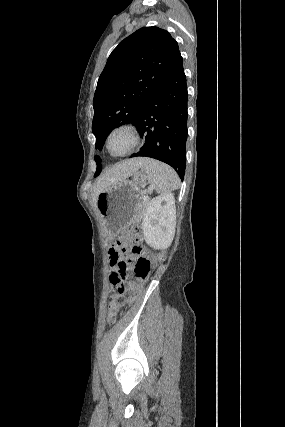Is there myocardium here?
<instances>
[{
  "label": "myocardium",
  "mask_w": 285,
  "mask_h": 427,
  "mask_svg": "<svg viewBox=\"0 0 285 427\" xmlns=\"http://www.w3.org/2000/svg\"><path fill=\"white\" fill-rule=\"evenodd\" d=\"M127 132L130 137H131V144L128 147L127 150H125L124 152H120V153H115L110 149V140L112 138V136L118 132ZM140 142V133L138 128L132 124V123H121L118 124L116 126H114L109 133L107 134L106 140H105V146L107 151L109 152L110 155L112 156H125L130 154L139 144Z\"/></svg>",
  "instance_id": "obj_1"
}]
</instances>
